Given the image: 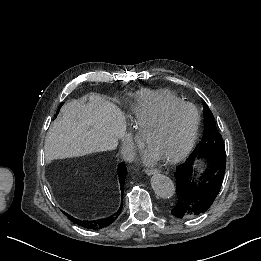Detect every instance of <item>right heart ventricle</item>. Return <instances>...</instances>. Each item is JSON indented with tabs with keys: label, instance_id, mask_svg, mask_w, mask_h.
Masks as SVG:
<instances>
[{
	"label": "right heart ventricle",
	"instance_id": "obj_1",
	"mask_svg": "<svg viewBox=\"0 0 261 261\" xmlns=\"http://www.w3.org/2000/svg\"><path fill=\"white\" fill-rule=\"evenodd\" d=\"M179 102H182L180 96L170 89H143L140 101L131 107L132 121L137 123L141 117L154 114L167 104Z\"/></svg>",
	"mask_w": 261,
	"mask_h": 261
}]
</instances>
